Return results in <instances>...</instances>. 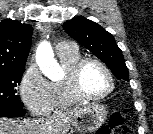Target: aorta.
<instances>
[{
	"label": "aorta",
	"instance_id": "aorta-1",
	"mask_svg": "<svg viewBox=\"0 0 153 134\" xmlns=\"http://www.w3.org/2000/svg\"><path fill=\"white\" fill-rule=\"evenodd\" d=\"M36 61L42 73L48 78H52L59 69L52 47L48 42H42L38 46Z\"/></svg>",
	"mask_w": 153,
	"mask_h": 134
}]
</instances>
